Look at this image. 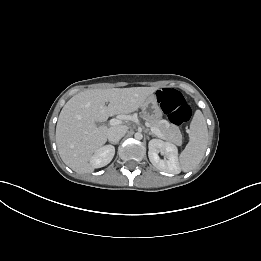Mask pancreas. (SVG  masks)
Segmentation results:
<instances>
[{"label":"pancreas","instance_id":"obj_1","mask_svg":"<svg viewBox=\"0 0 261 261\" xmlns=\"http://www.w3.org/2000/svg\"><path fill=\"white\" fill-rule=\"evenodd\" d=\"M143 118L148 121L150 126L160 130L161 135L158 137L178 146L182 144V134L177 126L169 124L167 121L162 120L159 116L153 118L143 116Z\"/></svg>","mask_w":261,"mask_h":261}]
</instances>
